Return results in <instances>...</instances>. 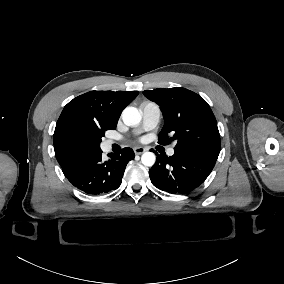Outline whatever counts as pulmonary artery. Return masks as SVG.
<instances>
[{"label": "pulmonary artery", "instance_id": "obj_1", "mask_svg": "<svg viewBox=\"0 0 284 284\" xmlns=\"http://www.w3.org/2000/svg\"><path fill=\"white\" fill-rule=\"evenodd\" d=\"M141 111V122L134 130V134L150 130L156 126L160 118V108L154 102H144L140 105ZM114 143L113 139H108L105 141V144L111 145ZM169 155L174 154V149L171 148L168 150Z\"/></svg>", "mask_w": 284, "mask_h": 284}]
</instances>
